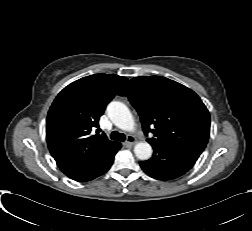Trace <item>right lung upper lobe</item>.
Listing matches in <instances>:
<instances>
[{"label": "right lung upper lobe", "instance_id": "1", "mask_svg": "<svg viewBox=\"0 0 252 231\" xmlns=\"http://www.w3.org/2000/svg\"><path fill=\"white\" fill-rule=\"evenodd\" d=\"M126 80L94 74L69 84L55 98L47 116L46 139L58 167L69 178L86 182L98 177L120 149V143L99 133L98 121Z\"/></svg>", "mask_w": 252, "mask_h": 231}]
</instances>
